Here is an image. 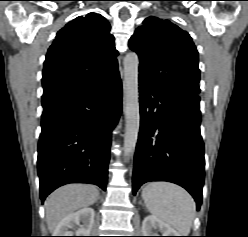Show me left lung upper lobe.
<instances>
[{
	"mask_svg": "<svg viewBox=\"0 0 248 237\" xmlns=\"http://www.w3.org/2000/svg\"><path fill=\"white\" fill-rule=\"evenodd\" d=\"M140 59L139 79L165 92L199 95L198 51L190 35L158 17H148L129 40Z\"/></svg>",
	"mask_w": 248,
	"mask_h": 237,
	"instance_id": "left-lung-upper-lobe-1",
	"label": "left lung upper lobe"
}]
</instances>
